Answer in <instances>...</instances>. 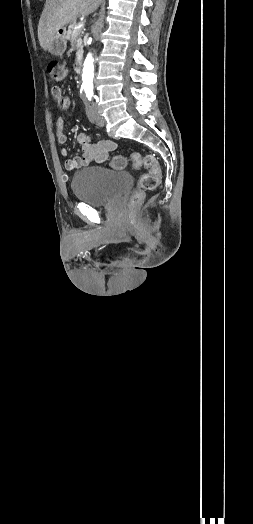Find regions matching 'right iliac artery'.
<instances>
[{"label":"right iliac artery","mask_w":253,"mask_h":524,"mask_svg":"<svg viewBox=\"0 0 253 524\" xmlns=\"http://www.w3.org/2000/svg\"><path fill=\"white\" fill-rule=\"evenodd\" d=\"M86 114L91 123H95V115L91 105L86 106Z\"/></svg>","instance_id":"1"}]
</instances>
